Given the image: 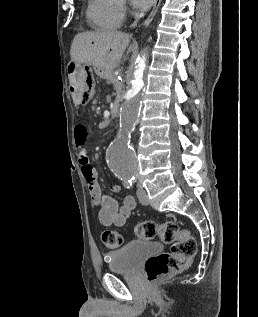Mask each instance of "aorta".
I'll use <instances>...</instances> for the list:
<instances>
[{"mask_svg":"<svg viewBox=\"0 0 258 317\" xmlns=\"http://www.w3.org/2000/svg\"><path fill=\"white\" fill-rule=\"evenodd\" d=\"M145 56L139 58L131 88L125 94V102L120 109L119 132L117 139L108 151V164L113 173L120 179L131 180L139 171L137 155L131 146V133L139 118L141 109L140 91L144 86L143 72L145 69Z\"/></svg>","mask_w":258,"mask_h":317,"instance_id":"762f6f07","label":"aorta"}]
</instances>
